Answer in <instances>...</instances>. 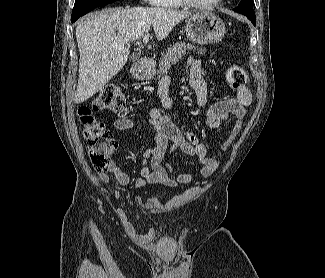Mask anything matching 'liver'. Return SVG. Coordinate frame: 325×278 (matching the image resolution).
I'll use <instances>...</instances> for the list:
<instances>
[{
    "label": "liver",
    "mask_w": 325,
    "mask_h": 278,
    "mask_svg": "<svg viewBox=\"0 0 325 278\" xmlns=\"http://www.w3.org/2000/svg\"><path fill=\"white\" fill-rule=\"evenodd\" d=\"M190 15L161 7H134L106 9L82 19L76 28L80 59L74 102L82 103L101 90L126 64L130 43L151 26L160 41Z\"/></svg>",
    "instance_id": "6515ba94"
}]
</instances>
